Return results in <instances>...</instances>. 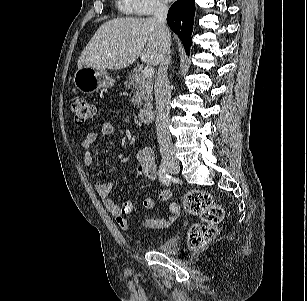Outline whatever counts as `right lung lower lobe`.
Returning a JSON list of instances; mask_svg holds the SVG:
<instances>
[{"instance_id": "obj_1", "label": "right lung lower lobe", "mask_w": 307, "mask_h": 301, "mask_svg": "<svg viewBox=\"0 0 307 301\" xmlns=\"http://www.w3.org/2000/svg\"><path fill=\"white\" fill-rule=\"evenodd\" d=\"M194 15V0H178L171 6L167 15L168 25L179 36L187 52L192 45Z\"/></svg>"}]
</instances>
